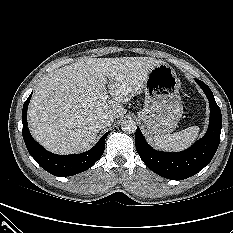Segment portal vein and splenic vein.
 <instances>
[{
	"label": "portal vein and splenic vein",
	"mask_w": 233,
	"mask_h": 233,
	"mask_svg": "<svg viewBox=\"0 0 233 233\" xmlns=\"http://www.w3.org/2000/svg\"><path fill=\"white\" fill-rule=\"evenodd\" d=\"M108 98V94L106 91H104L103 93L100 94V99L102 101H105Z\"/></svg>",
	"instance_id": "portal-vein-and-splenic-vein-1"
}]
</instances>
